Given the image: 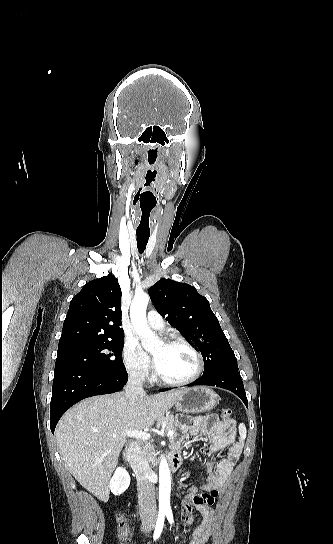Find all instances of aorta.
<instances>
[{
  "mask_svg": "<svg viewBox=\"0 0 333 544\" xmlns=\"http://www.w3.org/2000/svg\"><path fill=\"white\" fill-rule=\"evenodd\" d=\"M149 302V295L144 292L136 293L130 307V318L132 325L142 339L148 351L155 350L161 340L148 327L146 309ZM171 475L167 460L162 458L159 465V506L170 508Z\"/></svg>",
  "mask_w": 333,
  "mask_h": 544,
  "instance_id": "762f6f07",
  "label": "aorta"
}]
</instances>
